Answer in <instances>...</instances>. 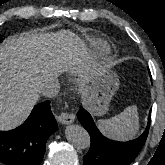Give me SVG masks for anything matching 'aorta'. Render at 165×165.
<instances>
[{"instance_id": "1", "label": "aorta", "mask_w": 165, "mask_h": 165, "mask_svg": "<svg viewBox=\"0 0 165 165\" xmlns=\"http://www.w3.org/2000/svg\"><path fill=\"white\" fill-rule=\"evenodd\" d=\"M65 135L67 140L77 149H86L90 145L89 133L82 126H67Z\"/></svg>"}]
</instances>
